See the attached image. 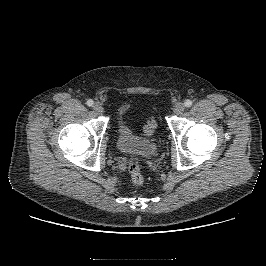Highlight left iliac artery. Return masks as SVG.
<instances>
[{
  "instance_id": "obj_1",
  "label": "left iliac artery",
  "mask_w": 266,
  "mask_h": 266,
  "mask_svg": "<svg viewBox=\"0 0 266 266\" xmlns=\"http://www.w3.org/2000/svg\"><path fill=\"white\" fill-rule=\"evenodd\" d=\"M184 104H185L186 107H191L192 106V101L188 99V100H186L184 102Z\"/></svg>"
}]
</instances>
